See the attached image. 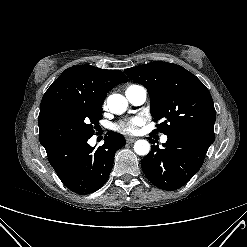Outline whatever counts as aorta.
I'll use <instances>...</instances> for the list:
<instances>
[{
  "label": "aorta",
  "mask_w": 247,
  "mask_h": 247,
  "mask_svg": "<svg viewBox=\"0 0 247 247\" xmlns=\"http://www.w3.org/2000/svg\"><path fill=\"white\" fill-rule=\"evenodd\" d=\"M109 110L114 114H122L128 107L127 99L121 94H112L107 99ZM134 151L136 154L144 156L150 151V144L146 140H137L134 144Z\"/></svg>",
  "instance_id": "aorta-1"
}]
</instances>
